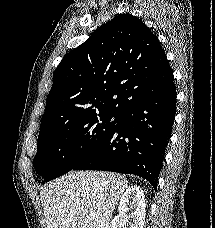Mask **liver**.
<instances>
[{"label": "liver", "mask_w": 215, "mask_h": 228, "mask_svg": "<svg viewBox=\"0 0 215 228\" xmlns=\"http://www.w3.org/2000/svg\"><path fill=\"white\" fill-rule=\"evenodd\" d=\"M129 182L114 172H68L43 186L46 228H109Z\"/></svg>", "instance_id": "6515ba94"}]
</instances>
